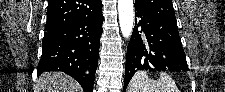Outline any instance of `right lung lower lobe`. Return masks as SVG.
I'll return each mask as SVG.
<instances>
[{"mask_svg": "<svg viewBox=\"0 0 225 92\" xmlns=\"http://www.w3.org/2000/svg\"><path fill=\"white\" fill-rule=\"evenodd\" d=\"M102 12L63 28L45 32L37 74L64 72L79 82L84 92H93L102 34Z\"/></svg>", "mask_w": 225, "mask_h": 92, "instance_id": "obj_1", "label": "right lung lower lobe"}]
</instances>
